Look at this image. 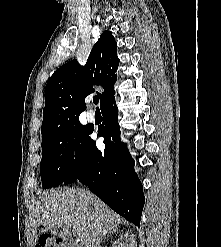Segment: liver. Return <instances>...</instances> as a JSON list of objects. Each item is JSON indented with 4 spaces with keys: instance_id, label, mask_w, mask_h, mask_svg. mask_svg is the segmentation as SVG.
<instances>
[{
    "instance_id": "obj_1",
    "label": "liver",
    "mask_w": 221,
    "mask_h": 247,
    "mask_svg": "<svg viewBox=\"0 0 221 247\" xmlns=\"http://www.w3.org/2000/svg\"><path fill=\"white\" fill-rule=\"evenodd\" d=\"M119 221L116 214L89 191L51 190L39 197L32 212V243H36L37 230L42 226V231L63 238L73 234L78 237L80 247H100L103 237L116 230Z\"/></svg>"
}]
</instances>
